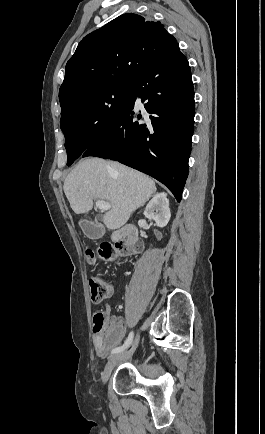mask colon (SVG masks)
I'll list each match as a JSON object with an SVG mask.
<instances>
[{"instance_id": "5ec220e1", "label": "colon", "mask_w": 265, "mask_h": 434, "mask_svg": "<svg viewBox=\"0 0 265 434\" xmlns=\"http://www.w3.org/2000/svg\"><path fill=\"white\" fill-rule=\"evenodd\" d=\"M86 248V257L87 262L90 265H94L98 259L103 261H109L112 258V249L110 246L102 247L98 252H95L93 249ZM120 256L116 258V262L120 263ZM89 291H90V299L93 304H100L103 301L110 299L114 294V285L113 283L97 277L92 276L89 278ZM92 327L90 332L92 335H103L107 328V321L105 314H102L101 310H94L92 317Z\"/></svg>"}]
</instances>
